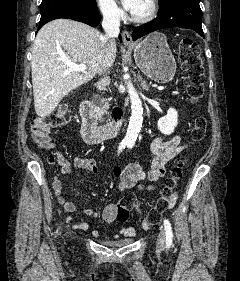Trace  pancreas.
<instances>
[{"instance_id": "pancreas-1", "label": "pancreas", "mask_w": 240, "mask_h": 281, "mask_svg": "<svg viewBox=\"0 0 240 281\" xmlns=\"http://www.w3.org/2000/svg\"><path fill=\"white\" fill-rule=\"evenodd\" d=\"M95 111L97 112L99 118L101 119L103 115L107 114V110L111 106L109 99L102 96H95L94 98ZM106 120H102L104 122Z\"/></svg>"}]
</instances>
